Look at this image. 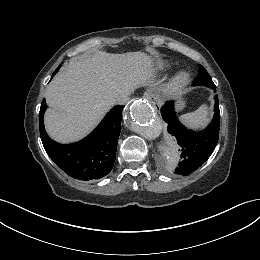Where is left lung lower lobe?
I'll use <instances>...</instances> for the list:
<instances>
[{
  "label": "left lung lower lobe",
  "instance_id": "0a47b994",
  "mask_svg": "<svg viewBox=\"0 0 260 260\" xmlns=\"http://www.w3.org/2000/svg\"><path fill=\"white\" fill-rule=\"evenodd\" d=\"M215 90V87L211 88ZM214 118L204 131L194 132L185 128L175 114L174 101L166 102L161 116L167 123L168 133L179 145L180 161L175 172L189 175L197 170L212 154L219 137L220 111L218 96H215Z\"/></svg>",
  "mask_w": 260,
  "mask_h": 260
}]
</instances>
